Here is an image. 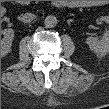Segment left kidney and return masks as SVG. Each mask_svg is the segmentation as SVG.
<instances>
[{
    "instance_id": "left-kidney-1",
    "label": "left kidney",
    "mask_w": 109,
    "mask_h": 109,
    "mask_svg": "<svg viewBox=\"0 0 109 109\" xmlns=\"http://www.w3.org/2000/svg\"><path fill=\"white\" fill-rule=\"evenodd\" d=\"M100 20L109 22V18L107 16L101 17ZM86 43L93 52L98 54H106L109 51V33L106 32L102 40H98L94 37H88L86 39Z\"/></svg>"
}]
</instances>
